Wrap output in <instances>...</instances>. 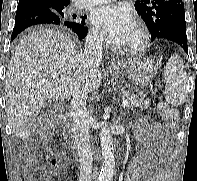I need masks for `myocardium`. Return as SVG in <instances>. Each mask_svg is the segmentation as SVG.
<instances>
[{"label":"myocardium","mask_w":197,"mask_h":181,"mask_svg":"<svg viewBox=\"0 0 197 181\" xmlns=\"http://www.w3.org/2000/svg\"><path fill=\"white\" fill-rule=\"evenodd\" d=\"M134 26L138 31V39L134 44L131 45H121L119 44L116 48L127 54H139L142 53L149 45L150 42V33L141 21H136Z\"/></svg>","instance_id":"obj_1"}]
</instances>
